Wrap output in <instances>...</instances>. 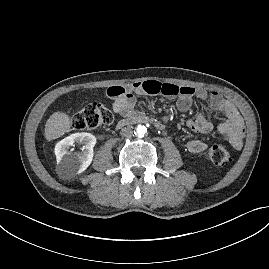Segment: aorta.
Listing matches in <instances>:
<instances>
[{
    "label": "aorta",
    "instance_id": "1",
    "mask_svg": "<svg viewBox=\"0 0 269 269\" xmlns=\"http://www.w3.org/2000/svg\"><path fill=\"white\" fill-rule=\"evenodd\" d=\"M147 132V128L144 126V125H138L136 127V131H135V134L140 136V137H143Z\"/></svg>",
    "mask_w": 269,
    "mask_h": 269
}]
</instances>
